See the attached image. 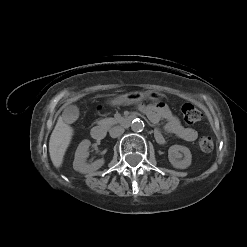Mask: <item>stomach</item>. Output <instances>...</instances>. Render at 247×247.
Here are the masks:
<instances>
[{
    "instance_id": "stomach-1",
    "label": "stomach",
    "mask_w": 247,
    "mask_h": 247,
    "mask_svg": "<svg viewBox=\"0 0 247 247\" xmlns=\"http://www.w3.org/2000/svg\"><path fill=\"white\" fill-rule=\"evenodd\" d=\"M162 97V94L156 91H149L146 93L132 92L114 98L112 100V104H136L142 102L143 100L159 101Z\"/></svg>"
}]
</instances>
